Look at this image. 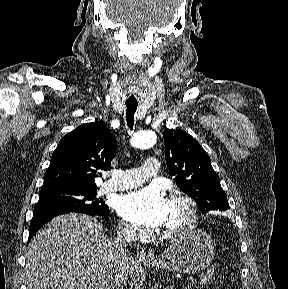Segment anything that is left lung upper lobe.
Segmentation results:
<instances>
[{
	"instance_id": "5c2ea615",
	"label": "left lung upper lobe",
	"mask_w": 288,
	"mask_h": 289,
	"mask_svg": "<svg viewBox=\"0 0 288 289\" xmlns=\"http://www.w3.org/2000/svg\"><path fill=\"white\" fill-rule=\"evenodd\" d=\"M163 136L170 174L180 189L196 201L199 210L206 213L230 209L219 177L200 144L182 130L166 129Z\"/></svg>"
}]
</instances>
